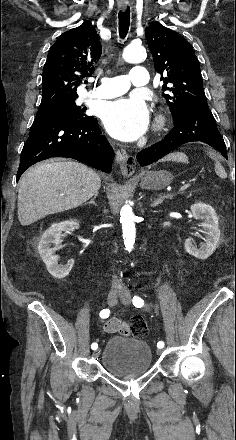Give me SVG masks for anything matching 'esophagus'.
Returning a JSON list of instances; mask_svg holds the SVG:
<instances>
[{
	"label": "esophagus",
	"mask_w": 236,
	"mask_h": 440,
	"mask_svg": "<svg viewBox=\"0 0 236 440\" xmlns=\"http://www.w3.org/2000/svg\"><path fill=\"white\" fill-rule=\"evenodd\" d=\"M127 2L121 1L118 3L120 10H125L127 8ZM116 160L120 165L122 174L125 177H130L134 174L136 169V159L133 156H129L124 149H118L116 152Z\"/></svg>",
	"instance_id": "esophagus-1"
}]
</instances>
